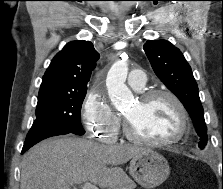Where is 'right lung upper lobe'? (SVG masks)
<instances>
[{
    "label": "right lung upper lobe",
    "instance_id": "1",
    "mask_svg": "<svg viewBox=\"0 0 223 189\" xmlns=\"http://www.w3.org/2000/svg\"><path fill=\"white\" fill-rule=\"evenodd\" d=\"M99 57L91 42H69L52 59L43 76L39 93L87 89Z\"/></svg>",
    "mask_w": 223,
    "mask_h": 189
}]
</instances>
